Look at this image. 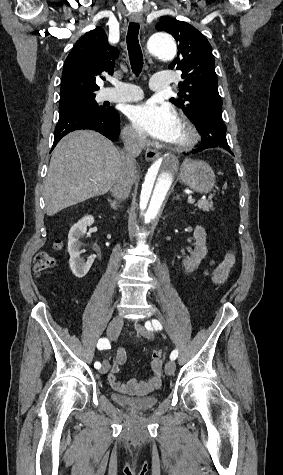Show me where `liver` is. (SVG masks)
Segmentation results:
<instances>
[{"label": "liver", "mask_w": 283, "mask_h": 475, "mask_svg": "<svg viewBox=\"0 0 283 475\" xmlns=\"http://www.w3.org/2000/svg\"><path fill=\"white\" fill-rule=\"evenodd\" d=\"M120 152L93 130H77L57 144L50 160L44 200L47 216L102 196L113 186Z\"/></svg>", "instance_id": "obj_1"}]
</instances>
